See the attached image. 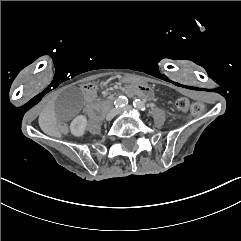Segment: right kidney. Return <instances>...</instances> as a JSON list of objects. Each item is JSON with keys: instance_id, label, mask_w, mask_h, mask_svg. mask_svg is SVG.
Instances as JSON below:
<instances>
[{"instance_id": "ca27d5eb", "label": "right kidney", "mask_w": 241, "mask_h": 241, "mask_svg": "<svg viewBox=\"0 0 241 241\" xmlns=\"http://www.w3.org/2000/svg\"><path fill=\"white\" fill-rule=\"evenodd\" d=\"M87 119L85 116L80 115L74 118L70 124V131L72 135L79 137L82 136L86 129Z\"/></svg>"}]
</instances>
